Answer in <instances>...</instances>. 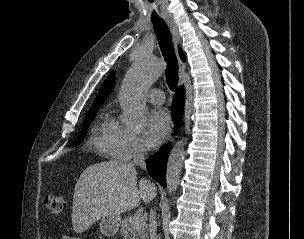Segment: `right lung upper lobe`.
Wrapping results in <instances>:
<instances>
[{
	"label": "right lung upper lobe",
	"instance_id": "right-lung-upper-lobe-1",
	"mask_svg": "<svg viewBox=\"0 0 304 239\" xmlns=\"http://www.w3.org/2000/svg\"><path fill=\"white\" fill-rule=\"evenodd\" d=\"M180 57L183 61H185L184 53L180 49L179 50ZM115 72L112 71L110 75L107 77V79L104 81L103 85L101 86L98 95L94 101V104L91 108L100 107L103 102L106 100L110 92L112 91L114 85H115Z\"/></svg>",
	"mask_w": 304,
	"mask_h": 239
}]
</instances>
